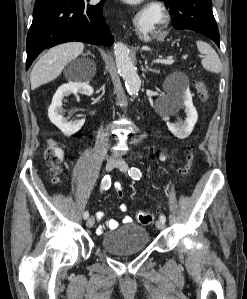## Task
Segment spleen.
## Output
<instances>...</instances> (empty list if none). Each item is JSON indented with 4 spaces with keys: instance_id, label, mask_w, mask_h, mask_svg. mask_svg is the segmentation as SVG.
<instances>
[{
    "instance_id": "1",
    "label": "spleen",
    "mask_w": 247,
    "mask_h": 299,
    "mask_svg": "<svg viewBox=\"0 0 247 299\" xmlns=\"http://www.w3.org/2000/svg\"><path fill=\"white\" fill-rule=\"evenodd\" d=\"M196 45L198 51L204 55L202 60L203 68L213 73H220L222 64L216 51L204 41H197Z\"/></svg>"
}]
</instances>
